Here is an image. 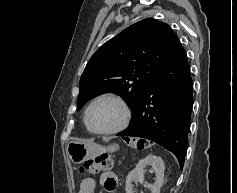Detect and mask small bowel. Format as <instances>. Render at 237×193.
I'll use <instances>...</instances> for the list:
<instances>
[{
  "label": "small bowel",
  "mask_w": 237,
  "mask_h": 193,
  "mask_svg": "<svg viewBox=\"0 0 237 193\" xmlns=\"http://www.w3.org/2000/svg\"><path fill=\"white\" fill-rule=\"evenodd\" d=\"M92 161V160H91ZM103 187L108 193H115L117 177L113 172H103L101 175ZM95 182L92 178L84 179L79 187L78 193H94Z\"/></svg>",
  "instance_id": "1"
}]
</instances>
